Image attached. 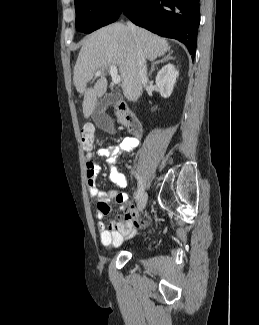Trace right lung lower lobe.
<instances>
[{
  "label": "right lung lower lobe",
  "instance_id": "obj_1",
  "mask_svg": "<svg viewBox=\"0 0 259 325\" xmlns=\"http://www.w3.org/2000/svg\"><path fill=\"white\" fill-rule=\"evenodd\" d=\"M121 14L160 36L183 42L195 55L200 0H126Z\"/></svg>",
  "mask_w": 259,
  "mask_h": 325
}]
</instances>
